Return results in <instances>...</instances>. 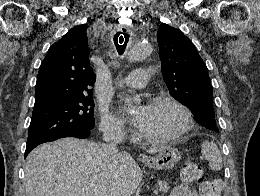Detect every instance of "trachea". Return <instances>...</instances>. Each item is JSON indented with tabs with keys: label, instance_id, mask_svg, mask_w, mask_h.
Segmentation results:
<instances>
[{
	"label": "trachea",
	"instance_id": "1",
	"mask_svg": "<svg viewBox=\"0 0 260 196\" xmlns=\"http://www.w3.org/2000/svg\"><path fill=\"white\" fill-rule=\"evenodd\" d=\"M114 44L119 55H122L125 52L127 43L129 41V35L127 33H116L114 36Z\"/></svg>",
	"mask_w": 260,
	"mask_h": 196
}]
</instances>
